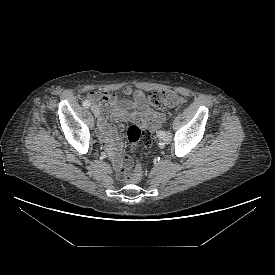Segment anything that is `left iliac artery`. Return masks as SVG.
Segmentation results:
<instances>
[{
	"label": "left iliac artery",
	"mask_w": 275,
	"mask_h": 275,
	"mask_svg": "<svg viewBox=\"0 0 275 275\" xmlns=\"http://www.w3.org/2000/svg\"><path fill=\"white\" fill-rule=\"evenodd\" d=\"M165 134H166L165 131H159V132L157 133V136H158L159 138H163Z\"/></svg>",
	"instance_id": "obj_1"
}]
</instances>
